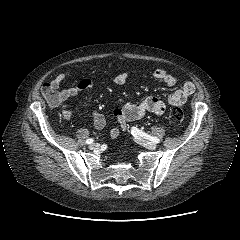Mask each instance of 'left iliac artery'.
<instances>
[{
	"mask_svg": "<svg viewBox=\"0 0 240 240\" xmlns=\"http://www.w3.org/2000/svg\"><path fill=\"white\" fill-rule=\"evenodd\" d=\"M131 133H132L133 136L139 135V136L144 137L146 139H149L150 141H153L155 143L160 142V140L157 137L150 136V135L146 134L145 132L137 129L136 127H132Z\"/></svg>",
	"mask_w": 240,
	"mask_h": 240,
	"instance_id": "1",
	"label": "left iliac artery"
}]
</instances>
